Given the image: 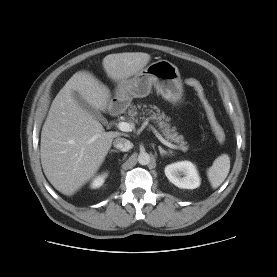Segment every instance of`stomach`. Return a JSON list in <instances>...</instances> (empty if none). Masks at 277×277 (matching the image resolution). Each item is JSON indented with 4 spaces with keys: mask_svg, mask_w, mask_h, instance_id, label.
<instances>
[{
    "mask_svg": "<svg viewBox=\"0 0 277 277\" xmlns=\"http://www.w3.org/2000/svg\"><path fill=\"white\" fill-rule=\"evenodd\" d=\"M152 86L166 100L177 104L182 100L183 84L178 68L168 60H158L149 64L133 78L118 83L111 107L118 112L125 111L132 98L149 95Z\"/></svg>",
    "mask_w": 277,
    "mask_h": 277,
    "instance_id": "stomach-1",
    "label": "stomach"
}]
</instances>
